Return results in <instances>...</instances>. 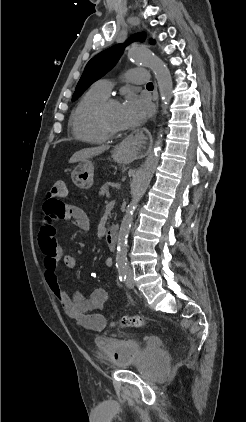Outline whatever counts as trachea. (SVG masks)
Returning <instances> with one entry per match:
<instances>
[{
    "mask_svg": "<svg viewBox=\"0 0 246 422\" xmlns=\"http://www.w3.org/2000/svg\"><path fill=\"white\" fill-rule=\"evenodd\" d=\"M147 87H153V83H152V82H149V83L147 84Z\"/></svg>",
    "mask_w": 246,
    "mask_h": 422,
    "instance_id": "3493384b",
    "label": "trachea"
}]
</instances>
